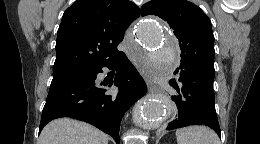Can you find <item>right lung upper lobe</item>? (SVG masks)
Listing matches in <instances>:
<instances>
[{
    "label": "right lung upper lobe",
    "instance_id": "right-lung-upper-lobe-1",
    "mask_svg": "<svg viewBox=\"0 0 260 144\" xmlns=\"http://www.w3.org/2000/svg\"><path fill=\"white\" fill-rule=\"evenodd\" d=\"M139 16V8L128 0H77L63 14L53 71L115 58L126 29Z\"/></svg>",
    "mask_w": 260,
    "mask_h": 144
}]
</instances>
